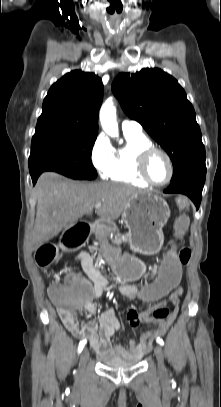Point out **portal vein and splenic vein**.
Here are the masks:
<instances>
[{
	"label": "portal vein and splenic vein",
	"mask_w": 221,
	"mask_h": 407,
	"mask_svg": "<svg viewBox=\"0 0 221 407\" xmlns=\"http://www.w3.org/2000/svg\"><path fill=\"white\" fill-rule=\"evenodd\" d=\"M101 207V202H98L96 205H95V209H98V208H100Z\"/></svg>",
	"instance_id": "1"
}]
</instances>
